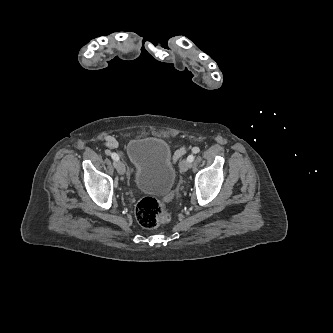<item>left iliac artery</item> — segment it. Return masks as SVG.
Masks as SVG:
<instances>
[{
  "label": "left iliac artery",
  "mask_w": 333,
  "mask_h": 333,
  "mask_svg": "<svg viewBox=\"0 0 333 333\" xmlns=\"http://www.w3.org/2000/svg\"><path fill=\"white\" fill-rule=\"evenodd\" d=\"M194 155H189L188 157H187V160L189 161V162H193L194 161Z\"/></svg>",
  "instance_id": "left-iliac-artery-1"
}]
</instances>
